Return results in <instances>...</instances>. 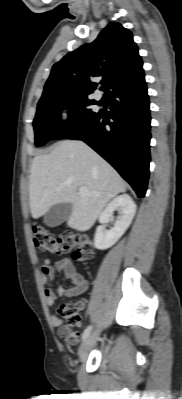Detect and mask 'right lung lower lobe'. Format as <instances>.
I'll return each mask as SVG.
<instances>
[{"label":"right lung lower lobe","mask_w":182,"mask_h":399,"mask_svg":"<svg viewBox=\"0 0 182 399\" xmlns=\"http://www.w3.org/2000/svg\"><path fill=\"white\" fill-rule=\"evenodd\" d=\"M110 111H99L62 138L82 140L106 159L139 198L147 190L150 163V110L144 74L112 85Z\"/></svg>","instance_id":"obj_1"}]
</instances>
